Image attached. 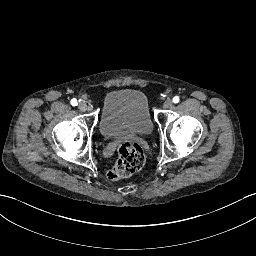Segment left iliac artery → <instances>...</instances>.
I'll use <instances>...</instances> for the list:
<instances>
[{"label": "left iliac artery", "mask_w": 256, "mask_h": 256, "mask_svg": "<svg viewBox=\"0 0 256 256\" xmlns=\"http://www.w3.org/2000/svg\"><path fill=\"white\" fill-rule=\"evenodd\" d=\"M173 102H174V103H178V102H179V97H178V96H175V97L173 98Z\"/></svg>", "instance_id": "1"}]
</instances>
